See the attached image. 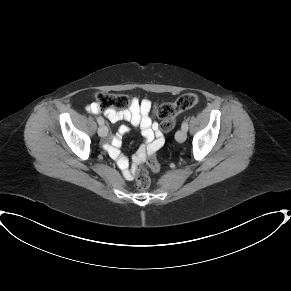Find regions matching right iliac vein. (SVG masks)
<instances>
[{
	"label": "right iliac vein",
	"instance_id": "obj_1",
	"mask_svg": "<svg viewBox=\"0 0 291 291\" xmlns=\"http://www.w3.org/2000/svg\"><path fill=\"white\" fill-rule=\"evenodd\" d=\"M107 134H108V129L106 126H100L98 128V135L100 137H105V136H107Z\"/></svg>",
	"mask_w": 291,
	"mask_h": 291
}]
</instances>
